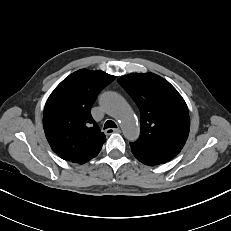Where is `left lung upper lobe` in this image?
Listing matches in <instances>:
<instances>
[{
	"label": "left lung upper lobe",
	"mask_w": 231,
	"mask_h": 231,
	"mask_svg": "<svg viewBox=\"0 0 231 231\" xmlns=\"http://www.w3.org/2000/svg\"><path fill=\"white\" fill-rule=\"evenodd\" d=\"M118 82L140 109L141 134L131 147L175 157L183 148L190 130L187 105L178 91L153 73H132Z\"/></svg>",
	"instance_id": "obj_1"
}]
</instances>
